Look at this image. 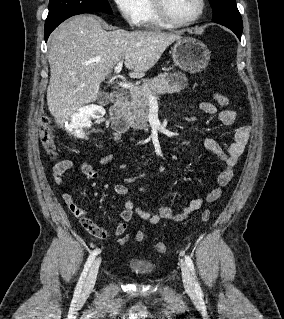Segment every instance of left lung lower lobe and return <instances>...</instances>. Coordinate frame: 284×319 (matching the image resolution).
Masks as SVG:
<instances>
[{"label":"left lung lower lobe","instance_id":"0a47b994","mask_svg":"<svg viewBox=\"0 0 284 319\" xmlns=\"http://www.w3.org/2000/svg\"><path fill=\"white\" fill-rule=\"evenodd\" d=\"M214 22L229 28L230 30H232L236 34L238 39L241 40V33L243 31V24H236V23L227 22V21H214Z\"/></svg>","mask_w":284,"mask_h":319}]
</instances>
